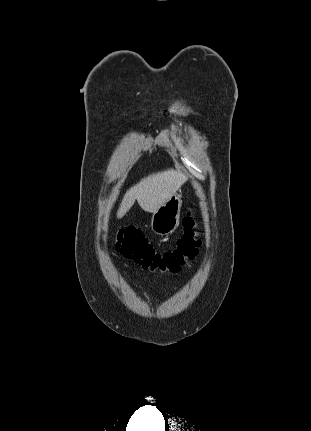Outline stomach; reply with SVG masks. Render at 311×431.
<instances>
[{"label": "stomach", "mask_w": 311, "mask_h": 431, "mask_svg": "<svg viewBox=\"0 0 311 431\" xmlns=\"http://www.w3.org/2000/svg\"><path fill=\"white\" fill-rule=\"evenodd\" d=\"M181 194H174L157 212H152L151 229L158 235H169L176 229L181 216Z\"/></svg>", "instance_id": "1"}]
</instances>
